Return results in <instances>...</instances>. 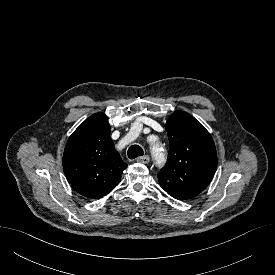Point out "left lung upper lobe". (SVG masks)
I'll return each instance as SVG.
<instances>
[{
	"instance_id": "obj_1",
	"label": "left lung upper lobe",
	"mask_w": 275,
	"mask_h": 275,
	"mask_svg": "<svg viewBox=\"0 0 275 275\" xmlns=\"http://www.w3.org/2000/svg\"><path fill=\"white\" fill-rule=\"evenodd\" d=\"M170 150L158 174L160 186L178 200L201 193L217 166L215 144L205 127L190 114L175 111L166 125Z\"/></svg>"
}]
</instances>
